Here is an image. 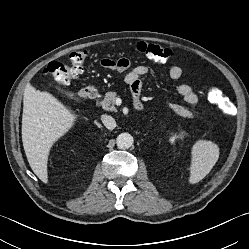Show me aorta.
Returning <instances> with one entry per match:
<instances>
[{
  "mask_svg": "<svg viewBox=\"0 0 249 249\" xmlns=\"http://www.w3.org/2000/svg\"><path fill=\"white\" fill-rule=\"evenodd\" d=\"M116 144L120 149H128L133 144V137L129 133H121L116 139Z\"/></svg>",
  "mask_w": 249,
  "mask_h": 249,
  "instance_id": "aorta-1",
  "label": "aorta"
}]
</instances>
